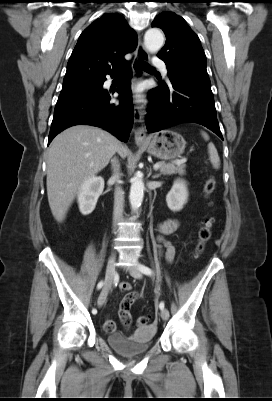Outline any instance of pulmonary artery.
Instances as JSON below:
<instances>
[{
  "mask_svg": "<svg viewBox=\"0 0 272 401\" xmlns=\"http://www.w3.org/2000/svg\"><path fill=\"white\" fill-rule=\"evenodd\" d=\"M152 65H153L154 67L161 68V69L163 70V72H164L165 74H167L165 62H164L162 59L157 58V57L154 58V59L152 60Z\"/></svg>",
  "mask_w": 272,
  "mask_h": 401,
  "instance_id": "1",
  "label": "pulmonary artery"
}]
</instances>
